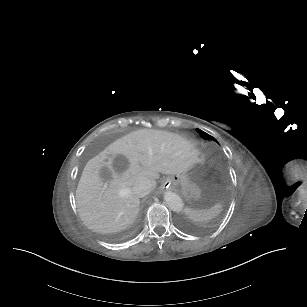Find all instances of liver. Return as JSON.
<instances>
[{
    "label": "liver",
    "mask_w": 307,
    "mask_h": 307,
    "mask_svg": "<svg viewBox=\"0 0 307 307\" xmlns=\"http://www.w3.org/2000/svg\"><path fill=\"white\" fill-rule=\"evenodd\" d=\"M198 155L189 141L166 131L143 129L118 139L84 167L76 190L81 220L96 232L125 229L139 211L135 182L146 177L155 188L159 173L189 172L201 163Z\"/></svg>",
    "instance_id": "liver-1"
}]
</instances>
